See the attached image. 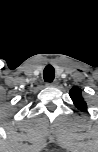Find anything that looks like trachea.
<instances>
[{
    "label": "trachea",
    "mask_w": 98,
    "mask_h": 152,
    "mask_svg": "<svg viewBox=\"0 0 98 152\" xmlns=\"http://www.w3.org/2000/svg\"><path fill=\"white\" fill-rule=\"evenodd\" d=\"M55 77V70L52 65H47L43 71V78L45 82H52Z\"/></svg>",
    "instance_id": "trachea-1"
}]
</instances>
